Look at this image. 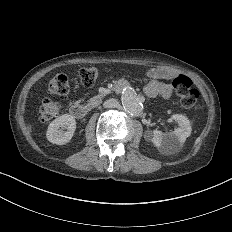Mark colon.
Returning <instances> with one entry per match:
<instances>
[{"label": "colon", "instance_id": "obj_1", "mask_svg": "<svg viewBox=\"0 0 232 232\" xmlns=\"http://www.w3.org/2000/svg\"><path fill=\"white\" fill-rule=\"evenodd\" d=\"M77 73H81V84L85 88H90L94 84L96 76V66L87 64L84 68H77ZM55 81H46V91L55 98H61L65 92H71V77L68 74H53ZM176 91H181L180 100L183 107H192L193 111H200L201 107L197 106L195 99L199 96V91L193 83L185 76H180L176 80ZM36 103L40 108L43 116L39 117L40 121H49L51 117H62V112L52 102H47V98H36ZM57 105V102H54Z\"/></svg>", "mask_w": 232, "mask_h": 232}]
</instances>
